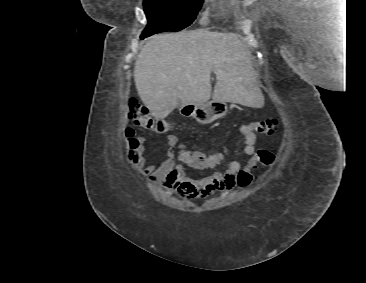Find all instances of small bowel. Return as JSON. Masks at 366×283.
I'll return each mask as SVG.
<instances>
[{"label": "small bowel", "mask_w": 366, "mask_h": 283, "mask_svg": "<svg viewBox=\"0 0 366 283\" xmlns=\"http://www.w3.org/2000/svg\"><path fill=\"white\" fill-rule=\"evenodd\" d=\"M240 132L244 136L243 151L246 155L253 158L256 153L257 137L248 125H242ZM144 141V138L137 140V146L132 157L134 166L142 174L146 175L151 182L157 183L163 189L189 200L205 199L216 192L231 191L238 184V174L252 159L244 167L240 162L234 160L228 162L223 172L216 171L205 177L194 178L189 176L184 166L176 161L177 136L173 134L167 135L168 150L165 160L160 164L146 165ZM180 157L184 160L182 154ZM221 160V154H211L209 155V163L199 169L213 168Z\"/></svg>", "instance_id": "obj_1"}]
</instances>
